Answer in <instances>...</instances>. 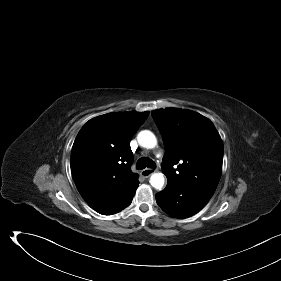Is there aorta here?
<instances>
[{"label":"aorta","instance_id":"1","mask_svg":"<svg viewBox=\"0 0 281 281\" xmlns=\"http://www.w3.org/2000/svg\"><path fill=\"white\" fill-rule=\"evenodd\" d=\"M137 140L140 146L152 149L157 145L156 136L149 130L139 132ZM165 183V177L162 173H153L150 177V184L157 190H161Z\"/></svg>","mask_w":281,"mask_h":281}]
</instances>
